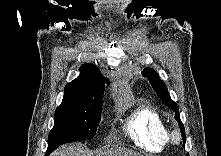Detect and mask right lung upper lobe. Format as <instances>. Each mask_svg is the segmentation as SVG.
<instances>
[{
	"label": "right lung upper lobe",
	"mask_w": 221,
	"mask_h": 156,
	"mask_svg": "<svg viewBox=\"0 0 221 156\" xmlns=\"http://www.w3.org/2000/svg\"><path fill=\"white\" fill-rule=\"evenodd\" d=\"M79 70L81 74L65 86L61 104L103 100L105 83L109 84L108 79L91 63L82 65Z\"/></svg>",
	"instance_id": "cb5924a9"
}]
</instances>
